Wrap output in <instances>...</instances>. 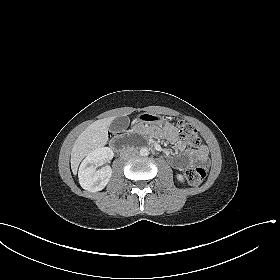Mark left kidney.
I'll list each match as a JSON object with an SVG mask.
<instances>
[{"label": "left kidney", "mask_w": 280, "mask_h": 280, "mask_svg": "<svg viewBox=\"0 0 280 280\" xmlns=\"http://www.w3.org/2000/svg\"><path fill=\"white\" fill-rule=\"evenodd\" d=\"M177 179L180 181V182H184V178L181 174H178L177 175Z\"/></svg>", "instance_id": "left-kidney-1"}]
</instances>
